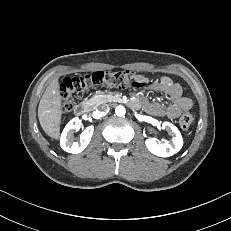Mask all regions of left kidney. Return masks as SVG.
<instances>
[{
	"label": "left kidney",
	"instance_id": "1",
	"mask_svg": "<svg viewBox=\"0 0 231 231\" xmlns=\"http://www.w3.org/2000/svg\"><path fill=\"white\" fill-rule=\"evenodd\" d=\"M162 129L166 130L172 137L171 143L157 142L155 138H148L145 141L147 149L159 157H170L176 154L183 146V139L180 131L170 122H163Z\"/></svg>",
	"mask_w": 231,
	"mask_h": 231
}]
</instances>
